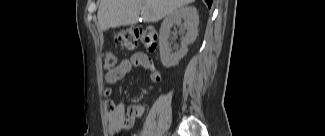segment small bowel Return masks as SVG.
Returning <instances> with one entry per match:
<instances>
[{"label": "small bowel", "mask_w": 325, "mask_h": 136, "mask_svg": "<svg viewBox=\"0 0 325 136\" xmlns=\"http://www.w3.org/2000/svg\"><path fill=\"white\" fill-rule=\"evenodd\" d=\"M136 67L147 70L153 83L160 82V71L156 68L151 57L144 52H136L129 58L123 59L115 69L106 73L105 81L109 84H115ZM106 94L109 95L110 92L106 91ZM105 106L107 130L110 135L129 130L133 127L135 120L145 113L143 105L129 104L125 101L115 103L109 99L106 101Z\"/></svg>", "instance_id": "small-bowel-1"}]
</instances>
